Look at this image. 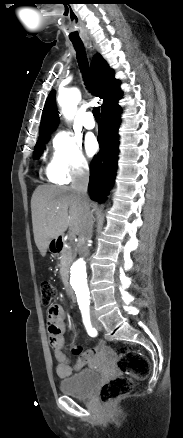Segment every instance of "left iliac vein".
Masks as SVG:
<instances>
[{
  "instance_id": "1",
  "label": "left iliac vein",
  "mask_w": 183,
  "mask_h": 438,
  "mask_svg": "<svg viewBox=\"0 0 183 438\" xmlns=\"http://www.w3.org/2000/svg\"><path fill=\"white\" fill-rule=\"evenodd\" d=\"M92 320H93V325L96 329L100 330L101 329V324L96 320L94 314H92Z\"/></svg>"
}]
</instances>
